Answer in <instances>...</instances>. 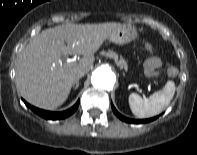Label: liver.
Wrapping results in <instances>:
<instances>
[{
  "instance_id": "6515ba94",
  "label": "liver",
  "mask_w": 197,
  "mask_h": 155,
  "mask_svg": "<svg viewBox=\"0 0 197 155\" xmlns=\"http://www.w3.org/2000/svg\"><path fill=\"white\" fill-rule=\"evenodd\" d=\"M119 23L66 24L43 30L18 55L16 86L30 104L52 110L62 105L79 69L92 68L94 53ZM67 45H66V44ZM83 55L77 64L61 65V55Z\"/></svg>"
}]
</instances>
